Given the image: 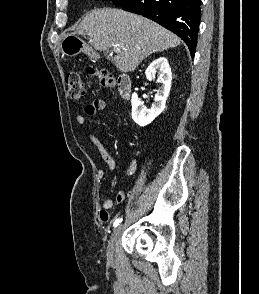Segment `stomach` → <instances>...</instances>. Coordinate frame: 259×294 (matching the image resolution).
I'll use <instances>...</instances> for the list:
<instances>
[{
	"instance_id": "stomach-1",
	"label": "stomach",
	"mask_w": 259,
	"mask_h": 294,
	"mask_svg": "<svg viewBox=\"0 0 259 294\" xmlns=\"http://www.w3.org/2000/svg\"><path fill=\"white\" fill-rule=\"evenodd\" d=\"M63 55L75 56L84 52L90 56H95L92 49L75 33H68L60 43Z\"/></svg>"
}]
</instances>
